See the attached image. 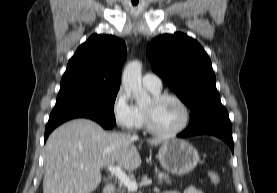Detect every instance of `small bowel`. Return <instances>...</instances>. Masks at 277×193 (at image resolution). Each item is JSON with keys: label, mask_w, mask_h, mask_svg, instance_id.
<instances>
[{"label": "small bowel", "mask_w": 277, "mask_h": 193, "mask_svg": "<svg viewBox=\"0 0 277 193\" xmlns=\"http://www.w3.org/2000/svg\"><path fill=\"white\" fill-rule=\"evenodd\" d=\"M163 193H204V192L196 188L195 186H188L183 191L168 190V191H164Z\"/></svg>", "instance_id": "obj_1"}]
</instances>
